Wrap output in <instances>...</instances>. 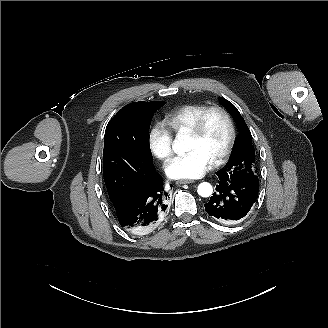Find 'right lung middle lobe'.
Instances as JSON below:
<instances>
[{
    "instance_id": "1",
    "label": "right lung middle lobe",
    "mask_w": 328,
    "mask_h": 328,
    "mask_svg": "<svg viewBox=\"0 0 328 328\" xmlns=\"http://www.w3.org/2000/svg\"><path fill=\"white\" fill-rule=\"evenodd\" d=\"M164 104L162 101L128 104L107 124L103 176L114 208L132 192L149 186L155 175L149 128L154 111Z\"/></svg>"
}]
</instances>
